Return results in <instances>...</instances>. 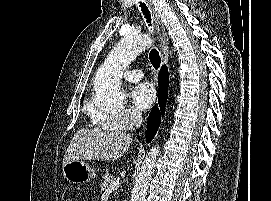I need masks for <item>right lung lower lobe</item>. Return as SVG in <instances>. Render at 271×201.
<instances>
[{"mask_svg": "<svg viewBox=\"0 0 271 201\" xmlns=\"http://www.w3.org/2000/svg\"><path fill=\"white\" fill-rule=\"evenodd\" d=\"M158 83L160 87V91L158 95V102L160 105V109L158 107H153V109L150 112L148 123H147V130H146L147 142H150L152 138L155 136L161 123V117L164 116V112H165L167 88H168V83H169L168 69L165 65H163L161 70L159 71Z\"/></svg>", "mask_w": 271, "mask_h": 201, "instance_id": "right-lung-lower-lobe-1", "label": "right lung lower lobe"}]
</instances>
